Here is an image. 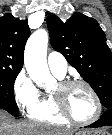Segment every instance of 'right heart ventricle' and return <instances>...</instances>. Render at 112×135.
<instances>
[{
    "label": "right heart ventricle",
    "instance_id": "e07e8e85",
    "mask_svg": "<svg viewBox=\"0 0 112 135\" xmlns=\"http://www.w3.org/2000/svg\"><path fill=\"white\" fill-rule=\"evenodd\" d=\"M29 117L36 121L46 122L49 124L60 125L66 122V120L57 111L52 95L48 93L42 96L40 105L29 113Z\"/></svg>",
    "mask_w": 112,
    "mask_h": 135
}]
</instances>
